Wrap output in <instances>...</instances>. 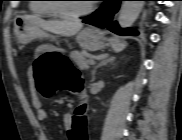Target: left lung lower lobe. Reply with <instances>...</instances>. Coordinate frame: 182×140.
I'll list each match as a JSON object with an SVG mask.
<instances>
[{
	"mask_svg": "<svg viewBox=\"0 0 182 140\" xmlns=\"http://www.w3.org/2000/svg\"><path fill=\"white\" fill-rule=\"evenodd\" d=\"M119 4L120 0H104L102 7L93 14V17L83 22L102 28L106 27L108 30L119 35H137L136 31L121 29L116 21L112 22L113 15L117 12Z\"/></svg>",
	"mask_w": 182,
	"mask_h": 140,
	"instance_id": "1",
	"label": "left lung lower lobe"
}]
</instances>
